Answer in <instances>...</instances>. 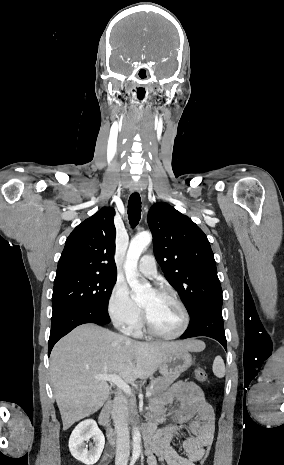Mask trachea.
<instances>
[{
  "label": "trachea",
  "instance_id": "1",
  "mask_svg": "<svg viewBox=\"0 0 284 465\" xmlns=\"http://www.w3.org/2000/svg\"><path fill=\"white\" fill-rule=\"evenodd\" d=\"M141 218V198L139 193H132L128 202V219L132 228L138 225Z\"/></svg>",
  "mask_w": 284,
  "mask_h": 465
}]
</instances>
